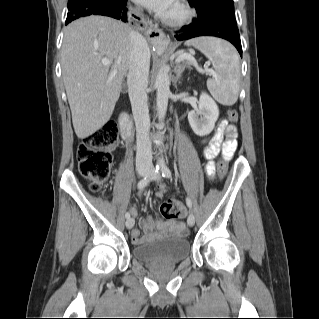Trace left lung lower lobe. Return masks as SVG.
I'll return each instance as SVG.
<instances>
[{"label": "left lung lower lobe", "mask_w": 319, "mask_h": 319, "mask_svg": "<svg viewBox=\"0 0 319 319\" xmlns=\"http://www.w3.org/2000/svg\"><path fill=\"white\" fill-rule=\"evenodd\" d=\"M181 31L183 32L182 34L175 35L178 41L188 40L198 36H215L231 42L242 57L239 31L235 23L221 19L197 20L189 25L183 26Z\"/></svg>", "instance_id": "0a47b994"}]
</instances>
